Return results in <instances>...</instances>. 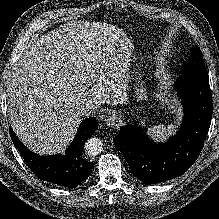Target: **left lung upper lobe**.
Wrapping results in <instances>:
<instances>
[{
    "label": "left lung upper lobe",
    "mask_w": 219,
    "mask_h": 219,
    "mask_svg": "<svg viewBox=\"0 0 219 219\" xmlns=\"http://www.w3.org/2000/svg\"><path fill=\"white\" fill-rule=\"evenodd\" d=\"M182 74H197L208 76L202 52L198 47H193L191 56L186 60L182 67Z\"/></svg>",
    "instance_id": "left-lung-upper-lobe-1"
}]
</instances>
